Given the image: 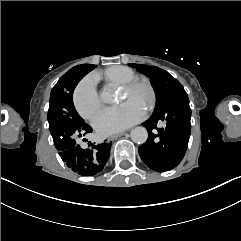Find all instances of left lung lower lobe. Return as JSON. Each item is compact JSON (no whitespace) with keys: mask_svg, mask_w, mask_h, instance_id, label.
<instances>
[{"mask_svg":"<svg viewBox=\"0 0 241 241\" xmlns=\"http://www.w3.org/2000/svg\"><path fill=\"white\" fill-rule=\"evenodd\" d=\"M190 118L189 99L185 94L174 97L143 123L148 131V140L138 150L149 168L162 172L181 162L190 137ZM159 121H165L166 127L157 128Z\"/></svg>","mask_w":241,"mask_h":241,"instance_id":"0a47b994","label":"left lung lower lobe"}]
</instances>
